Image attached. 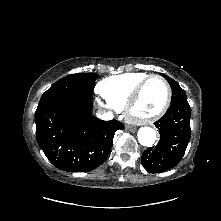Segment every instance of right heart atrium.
Listing matches in <instances>:
<instances>
[{"label": "right heart atrium", "instance_id": "d8ad5b80", "mask_svg": "<svg viewBox=\"0 0 221 221\" xmlns=\"http://www.w3.org/2000/svg\"><path fill=\"white\" fill-rule=\"evenodd\" d=\"M96 103L98 106H100L101 108L105 109V110H116L115 108H113L111 105H109L105 100H101V99H96Z\"/></svg>", "mask_w": 221, "mask_h": 221}]
</instances>
